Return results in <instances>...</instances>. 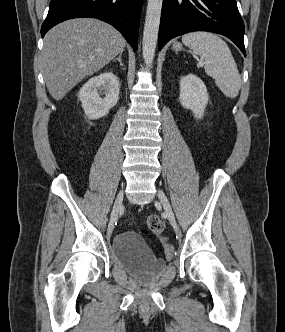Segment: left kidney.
Masks as SVG:
<instances>
[{"label": "left kidney", "instance_id": "left-kidney-1", "mask_svg": "<svg viewBox=\"0 0 285 332\" xmlns=\"http://www.w3.org/2000/svg\"><path fill=\"white\" fill-rule=\"evenodd\" d=\"M179 100L182 107L192 110L195 118H202L209 100L203 81L191 73L181 77Z\"/></svg>", "mask_w": 285, "mask_h": 332}]
</instances>
